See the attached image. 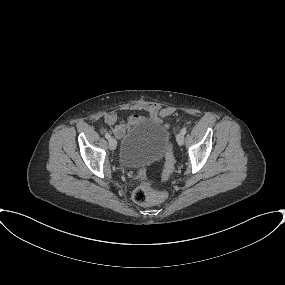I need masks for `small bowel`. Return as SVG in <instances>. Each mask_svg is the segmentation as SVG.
Here are the masks:
<instances>
[{
  "label": "small bowel",
  "instance_id": "small-bowel-1",
  "mask_svg": "<svg viewBox=\"0 0 285 285\" xmlns=\"http://www.w3.org/2000/svg\"><path fill=\"white\" fill-rule=\"evenodd\" d=\"M122 109L144 111L145 115L132 114L127 120H121L116 111L106 113L104 122L113 127V133L117 138H121L130 127L146 119L168 126V122L159 116V107L153 102L131 103L123 106Z\"/></svg>",
  "mask_w": 285,
  "mask_h": 285
}]
</instances>
